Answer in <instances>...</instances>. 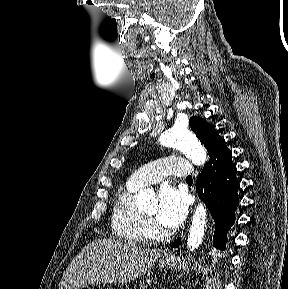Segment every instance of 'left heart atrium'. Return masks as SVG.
Masks as SVG:
<instances>
[{
	"label": "left heart atrium",
	"mask_w": 288,
	"mask_h": 289,
	"mask_svg": "<svg viewBox=\"0 0 288 289\" xmlns=\"http://www.w3.org/2000/svg\"><path fill=\"white\" fill-rule=\"evenodd\" d=\"M158 197L159 205L156 214L158 223L167 228L178 227L187 212L186 196L171 186H163Z\"/></svg>",
	"instance_id": "39dd6f15"
}]
</instances>
